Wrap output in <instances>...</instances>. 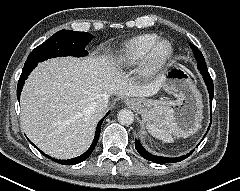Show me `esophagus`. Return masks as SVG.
<instances>
[{
	"instance_id": "1",
	"label": "esophagus",
	"mask_w": 240,
	"mask_h": 191,
	"mask_svg": "<svg viewBox=\"0 0 240 191\" xmlns=\"http://www.w3.org/2000/svg\"><path fill=\"white\" fill-rule=\"evenodd\" d=\"M125 102H126V104H128V105L130 104V101H129V100H127V101H125Z\"/></svg>"
}]
</instances>
